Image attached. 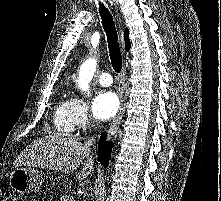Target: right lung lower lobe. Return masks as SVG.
<instances>
[{"instance_id":"98d812e1","label":"right lung lower lobe","mask_w":221,"mask_h":201,"mask_svg":"<svg viewBox=\"0 0 221 201\" xmlns=\"http://www.w3.org/2000/svg\"><path fill=\"white\" fill-rule=\"evenodd\" d=\"M112 144L106 141V133L100 137L98 143V158L99 161L105 166H108L109 157L111 154Z\"/></svg>"}]
</instances>
